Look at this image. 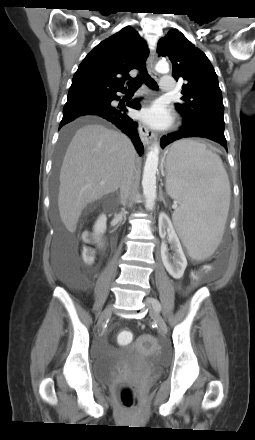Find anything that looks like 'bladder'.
Returning a JSON list of instances; mask_svg holds the SVG:
<instances>
[{
	"label": "bladder",
	"instance_id": "obj_1",
	"mask_svg": "<svg viewBox=\"0 0 255 440\" xmlns=\"http://www.w3.org/2000/svg\"><path fill=\"white\" fill-rule=\"evenodd\" d=\"M158 362V355L148 352L146 341L139 339L132 346L95 359L94 373L98 381L107 384L124 366H136L154 374L159 371Z\"/></svg>",
	"mask_w": 255,
	"mask_h": 440
}]
</instances>
